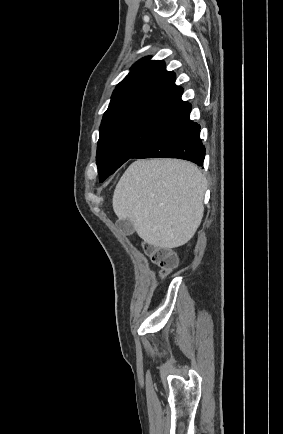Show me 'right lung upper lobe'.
I'll use <instances>...</instances> for the list:
<instances>
[{
	"instance_id": "obj_1",
	"label": "right lung upper lobe",
	"mask_w": 283,
	"mask_h": 434,
	"mask_svg": "<svg viewBox=\"0 0 283 434\" xmlns=\"http://www.w3.org/2000/svg\"><path fill=\"white\" fill-rule=\"evenodd\" d=\"M175 73L163 61L145 57L116 86L102 122L129 114H149L177 120L191 111L181 99L183 89L175 85Z\"/></svg>"
}]
</instances>
